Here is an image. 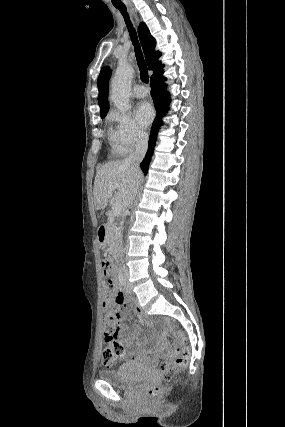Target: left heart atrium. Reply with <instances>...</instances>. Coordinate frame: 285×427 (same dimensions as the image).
Here are the masks:
<instances>
[{"instance_id": "left-heart-atrium-1", "label": "left heart atrium", "mask_w": 285, "mask_h": 427, "mask_svg": "<svg viewBox=\"0 0 285 427\" xmlns=\"http://www.w3.org/2000/svg\"><path fill=\"white\" fill-rule=\"evenodd\" d=\"M135 117L142 126H147L154 117L153 108L148 102H140L136 107Z\"/></svg>"}]
</instances>
